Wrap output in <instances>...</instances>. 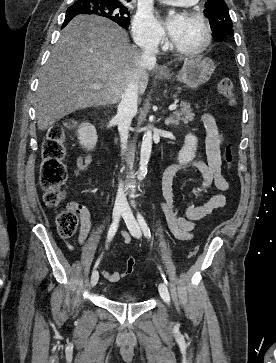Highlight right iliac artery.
I'll list each match as a JSON object with an SVG mask.
<instances>
[{
    "instance_id": "obj_1",
    "label": "right iliac artery",
    "mask_w": 276,
    "mask_h": 363,
    "mask_svg": "<svg viewBox=\"0 0 276 363\" xmlns=\"http://www.w3.org/2000/svg\"><path fill=\"white\" fill-rule=\"evenodd\" d=\"M117 228H118V221L113 222L108 231V236H107L108 242H110L112 240V238L114 237V235L117 231ZM97 266H98V263L95 264L94 269L97 268Z\"/></svg>"
}]
</instances>
